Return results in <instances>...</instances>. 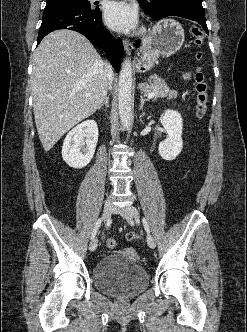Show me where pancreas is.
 Returning <instances> with one entry per match:
<instances>
[{
	"mask_svg": "<svg viewBox=\"0 0 247 332\" xmlns=\"http://www.w3.org/2000/svg\"><path fill=\"white\" fill-rule=\"evenodd\" d=\"M140 90L145 93L154 92L155 98L167 97L171 91L164 80L154 75L149 83H143L139 86Z\"/></svg>",
	"mask_w": 247,
	"mask_h": 332,
	"instance_id": "cf45deb5",
	"label": "pancreas"
}]
</instances>
